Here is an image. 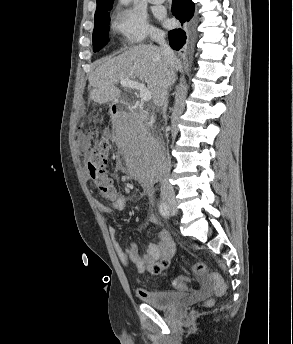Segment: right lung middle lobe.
Masks as SVG:
<instances>
[{"mask_svg": "<svg viewBox=\"0 0 293 344\" xmlns=\"http://www.w3.org/2000/svg\"><path fill=\"white\" fill-rule=\"evenodd\" d=\"M112 5L96 10L95 26L93 30V49L95 52L102 49L108 43L110 17L108 11Z\"/></svg>", "mask_w": 293, "mask_h": 344, "instance_id": "1", "label": "right lung middle lobe"}]
</instances>
